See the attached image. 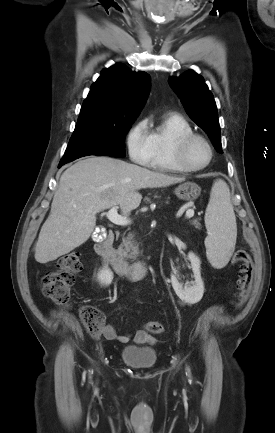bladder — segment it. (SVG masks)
<instances>
[{
    "label": "bladder",
    "mask_w": 275,
    "mask_h": 433,
    "mask_svg": "<svg viewBox=\"0 0 275 433\" xmlns=\"http://www.w3.org/2000/svg\"><path fill=\"white\" fill-rule=\"evenodd\" d=\"M120 358L129 366L150 368L155 365L157 354L152 347L128 345L122 349Z\"/></svg>",
    "instance_id": "31cf9c89"
}]
</instances>
